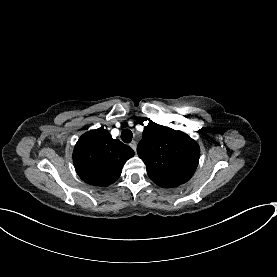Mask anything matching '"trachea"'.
<instances>
[{
  "label": "trachea",
  "mask_w": 277,
  "mask_h": 277,
  "mask_svg": "<svg viewBox=\"0 0 277 277\" xmlns=\"http://www.w3.org/2000/svg\"><path fill=\"white\" fill-rule=\"evenodd\" d=\"M133 134L132 131L129 129H124L121 132V139L123 140V142L125 143H130L132 140Z\"/></svg>",
  "instance_id": "obj_1"
}]
</instances>
